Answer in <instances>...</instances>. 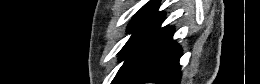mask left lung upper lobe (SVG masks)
I'll return each mask as SVG.
<instances>
[{
  "label": "left lung upper lobe",
  "instance_id": "obj_1",
  "mask_svg": "<svg viewBox=\"0 0 260 84\" xmlns=\"http://www.w3.org/2000/svg\"><path fill=\"white\" fill-rule=\"evenodd\" d=\"M159 5V1H152L142 7L131 20L127 32L135 33L148 15Z\"/></svg>",
  "mask_w": 260,
  "mask_h": 84
}]
</instances>
